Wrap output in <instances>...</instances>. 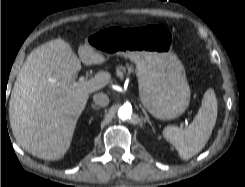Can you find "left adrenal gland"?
Here are the masks:
<instances>
[{"label": "left adrenal gland", "instance_id": "left-adrenal-gland-1", "mask_svg": "<svg viewBox=\"0 0 245 187\" xmlns=\"http://www.w3.org/2000/svg\"><path fill=\"white\" fill-rule=\"evenodd\" d=\"M141 109H142V111H143V113L145 115L144 122H148V124L153 128L152 123H151V121L149 119V116H148L147 112L145 111L144 108L141 107Z\"/></svg>", "mask_w": 245, "mask_h": 187}]
</instances>
